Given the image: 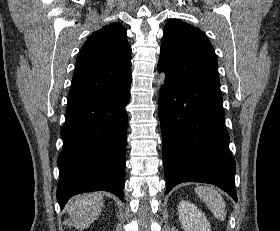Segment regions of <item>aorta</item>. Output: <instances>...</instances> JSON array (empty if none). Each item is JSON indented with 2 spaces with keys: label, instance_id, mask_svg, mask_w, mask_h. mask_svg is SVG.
<instances>
[{
  "label": "aorta",
  "instance_id": "obj_1",
  "mask_svg": "<svg viewBox=\"0 0 280 231\" xmlns=\"http://www.w3.org/2000/svg\"><path fill=\"white\" fill-rule=\"evenodd\" d=\"M164 82H165V74L164 72H161V74H158V80H157L158 90L159 88H161V86H164Z\"/></svg>",
  "mask_w": 280,
  "mask_h": 231
}]
</instances>
